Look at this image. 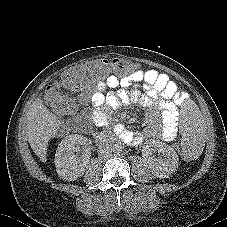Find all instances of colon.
<instances>
[{
    "label": "colon",
    "instance_id": "obj_1",
    "mask_svg": "<svg viewBox=\"0 0 227 227\" xmlns=\"http://www.w3.org/2000/svg\"><path fill=\"white\" fill-rule=\"evenodd\" d=\"M138 71L139 64L137 62L125 64L123 61L111 59L92 61L85 66H78L69 70L58 81L49 85L44 93V101L54 111L73 116L77 112V105L72 99L61 93L62 89L77 91L81 90L86 82L95 83L97 80H102L104 74L117 75L125 72L127 75H134ZM84 121V117H77L75 119L76 127L82 129ZM171 146L180 159L186 162L191 161L192 156L182 149L179 141H172Z\"/></svg>",
    "mask_w": 227,
    "mask_h": 227
}]
</instances>
